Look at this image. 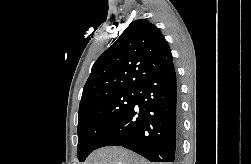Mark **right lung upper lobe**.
I'll return each instance as SVG.
<instances>
[{"instance_id": "right-lung-upper-lobe-1", "label": "right lung upper lobe", "mask_w": 251, "mask_h": 164, "mask_svg": "<svg viewBox=\"0 0 251 164\" xmlns=\"http://www.w3.org/2000/svg\"><path fill=\"white\" fill-rule=\"evenodd\" d=\"M172 60L169 45L154 24L146 19L131 22L92 66L80 107L108 93L137 90L146 78L165 70Z\"/></svg>"}]
</instances>
